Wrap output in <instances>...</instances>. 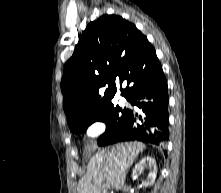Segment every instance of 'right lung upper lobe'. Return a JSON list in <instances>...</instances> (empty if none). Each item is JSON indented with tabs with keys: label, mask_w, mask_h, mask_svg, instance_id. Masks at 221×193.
I'll return each mask as SVG.
<instances>
[{
	"label": "right lung upper lobe",
	"mask_w": 221,
	"mask_h": 193,
	"mask_svg": "<svg viewBox=\"0 0 221 193\" xmlns=\"http://www.w3.org/2000/svg\"><path fill=\"white\" fill-rule=\"evenodd\" d=\"M155 49L134 24L118 15L91 22L64 67L61 89L69 127L112 103L120 84L129 98L135 85L157 63ZM122 83L127 87L122 89Z\"/></svg>",
	"instance_id": "obj_1"
}]
</instances>
